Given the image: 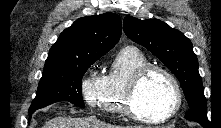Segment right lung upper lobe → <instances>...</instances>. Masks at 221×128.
<instances>
[{"label": "right lung upper lobe", "mask_w": 221, "mask_h": 128, "mask_svg": "<svg viewBox=\"0 0 221 128\" xmlns=\"http://www.w3.org/2000/svg\"><path fill=\"white\" fill-rule=\"evenodd\" d=\"M121 30V19L113 13L78 19L50 49L44 71L102 57L119 41Z\"/></svg>", "instance_id": "obj_1"}]
</instances>
